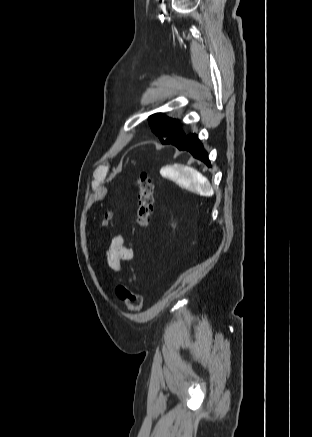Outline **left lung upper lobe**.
Segmentation results:
<instances>
[{"label": "left lung upper lobe", "mask_w": 312, "mask_h": 437, "mask_svg": "<svg viewBox=\"0 0 312 437\" xmlns=\"http://www.w3.org/2000/svg\"><path fill=\"white\" fill-rule=\"evenodd\" d=\"M149 124L163 144L181 140L187 135L180 128L178 120L167 118L161 113L151 115Z\"/></svg>", "instance_id": "5c2ea615"}]
</instances>
